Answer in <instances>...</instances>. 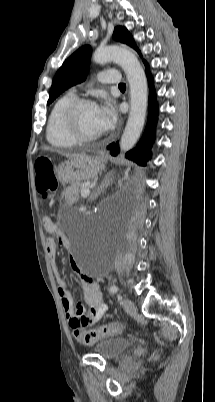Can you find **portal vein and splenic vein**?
<instances>
[{"instance_id":"obj_1","label":"portal vein and splenic vein","mask_w":215,"mask_h":402,"mask_svg":"<svg viewBox=\"0 0 215 402\" xmlns=\"http://www.w3.org/2000/svg\"><path fill=\"white\" fill-rule=\"evenodd\" d=\"M89 194H90V189L88 187H85V188L82 189L81 196L83 198H86L87 196H89Z\"/></svg>"}]
</instances>
